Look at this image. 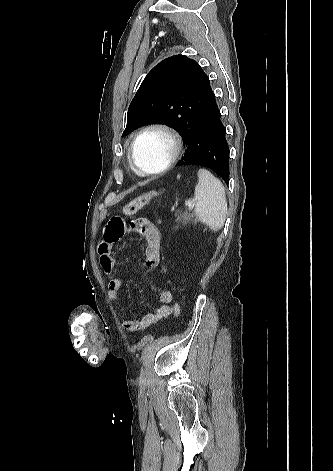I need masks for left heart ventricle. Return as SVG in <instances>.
Instances as JSON below:
<instances>
[{"label":"left heart ventricle","mask_w":333,"mask_h":471,"mask_svg":"<svg viewBox=\"0 0 333 471\" xmlns=\"http://www.w3.org/2000/svg\"><path fill=\"white\" fill-rule=\"evenodd\" d=\"M171 152L172 143L169 137L160 131H151L138 140L134 157L140 167L153 171L166 163Z\"/></svg>","instance_id":"left-heart-ventricle-1"}]
</instances>
